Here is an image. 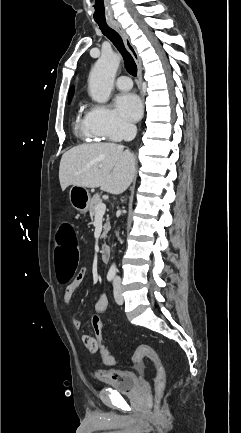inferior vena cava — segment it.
<instances>
[{
	"label": "inferior vena cava",
	"mask_w": 241,
	"mask_h": 433,
	"mask_svg": "<svg viewBox=\"0 0 241 433\" xmlns=\"http://www.w3.org/2000/svg\"><path fill=\"white\" fill-rule=\"evenodd\" d=\"M137 134V128L134 124L127 123L123 128V136L124 140L129 142L132 141ZM116 280H120L119 277H116Z\"/></svg>",
	"instance_id": "obj_1"
}]
</instances>
